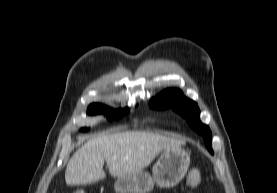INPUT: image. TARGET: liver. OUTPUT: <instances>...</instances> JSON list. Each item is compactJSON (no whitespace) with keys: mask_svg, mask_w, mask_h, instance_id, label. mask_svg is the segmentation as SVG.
<instances>
[{"mask_svg":"<svg viewBox=\"0 0 277 193\" xmlns=\"http://www.w3.org/2000/svg\"><path fill=\"white\" fill-rule=\"evenodd\" d=\"M185 144L175 139L145 131L103 133L90 138L71 157L66 171L67 185L90 184L106 177V161L112 176L128 177L142 171L166 148Z\"/></svg>","mask_w":277,"mask_h":193,"instance_id":"liver-1","label":"liver"}]
</instances>
